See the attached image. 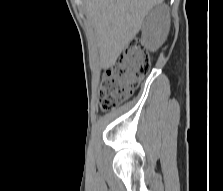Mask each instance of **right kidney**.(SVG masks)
I'll return each mask as SVG.
<instances>
[{
    "instance_id": "1",
    "label": "right kidney",
    "mask_w": 223,
    "mask_h": 191,
    "mask_svg": "<svg viewBox=\"0 0 223 191\" xmlns=\"http://www.w3.org/2000/svg\"><path fill=\"white\" fill-rule=\"evenodd\" d=\"M169 29L168 10L165 5L156 7L146 18L143 25V42L155 51L165 40Z\"/></svg>"
}]
</instances>
